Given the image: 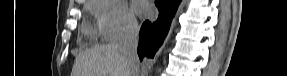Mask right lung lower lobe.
I'll list each match as a JSON object with an SVG mask.
<instances>
[{"mask_svg": "<svg viewBox=\"0 0 287 76\" xmlns=\"http://www.w3.org/2000/svg\"><path fill=\"white\" fill-rule=\"evenodd\" d=\"M179 3L180 0H155L159 10L158 19L155 22H144L140 30L137 52L141 61L145 57H154L167 35Z\"/></svg>", "mask_w": 287, "mask_h": 76, "instance_id": "right-lung-lower-lobe-1", "label": "right lung lower lobe"}]
</instances>
